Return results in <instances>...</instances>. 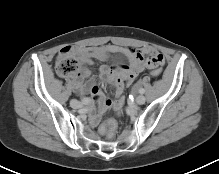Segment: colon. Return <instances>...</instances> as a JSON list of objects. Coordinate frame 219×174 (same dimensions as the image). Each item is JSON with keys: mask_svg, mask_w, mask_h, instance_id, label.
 I'll return each mask as SVG.
<instances>
[{"mask_svg": "<svg viewBox=\"0 0 219 174\" xmlns=\"http://www.w3.org/2000/svg\"><path fill=\"white\" fill-rule=\"evenodd\" d=\"M78 61L71 53L64 49L62 50L56 60L57 73L63 77H72L78 72ZM151 75L155 78H159L162 75L161 68H155L151 71ZM117 131V123L114 119H108L103 122L99 128V132L109 139L114 138Z\"/></svg>", "mask_w": 219, "mask_h": 174, "instance_id": "obj_1", "label": "colon"}]
</instances>
